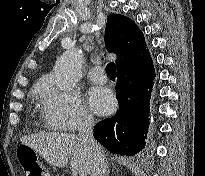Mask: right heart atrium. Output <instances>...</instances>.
<instances>
[{"label": "right heart atrium", "instance_id": "right-heart-atrium-1", "mask_svg": "<svg viewBox=\"0 0 205 176\" xmlns=\"http://www.w3.org/2000/svg\"><path fill=\"white\" fill-rule=\"evenodd\" d=\"M42 104L43 114L54 130L73 131L93 123L79 94L58 89L50 78L44 84Z\"/></svg>", "mask_w": 205, "mask_h": 176}]
</instances>
